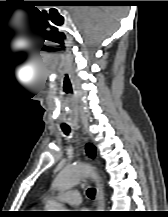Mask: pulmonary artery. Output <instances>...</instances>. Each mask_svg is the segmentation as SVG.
Here are the masks:
<instances>
[{"instance_id": "1", "label": "pulmonary artery", "mask_w": 168, "mask_h": 217, "mask_svg": "<svg viewBox=\"0 0 168 217\" xmlns=\"http://www.w3.org/2000/svg\"><path fill=\"white\" fill-rule=\"evenodd\" d=\"M57 200L72 206H78L81 204V196L77 191H68L63 193L57 197ZM47 201H50V199H47Z\"/></svg>"}]
</instances>
